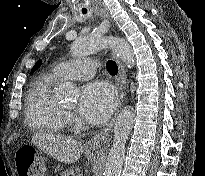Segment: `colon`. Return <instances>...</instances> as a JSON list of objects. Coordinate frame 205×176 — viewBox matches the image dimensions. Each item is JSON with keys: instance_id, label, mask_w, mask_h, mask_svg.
Listing matches in <instances>:
<instances>
[{"instance_id": "1", "label": "colon", "mask_w": 205, "mask_h": 176, "mask_svg": "<svg viewBox=\"0 0 205 176\" xmlns=\"http://www.w3.org/2000/svg\"><path fill=\"white\" fill-rule=\"evenodd\" d=\"M19 176H44L46 164L35 150L20 149L16 154Z\"/></svg>"}]
</instances>
